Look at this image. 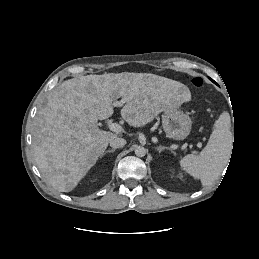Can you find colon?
Segmentation results:
<instances>
[{
	"mask_svg": "<svg viewBox=\"0 0 259 259\" xmlns=\"http://www.w3.org/2000/svg\"><path fill=\"white\" fill-rule=\"evenodd\" d=\"M190 81H191V84L196 87H200L203 84V80L200 77L191 78Z\"/></svg>",
	"mask_w": 259,
	"mask_h": 259,
	"instance_id": "colon-1",
	"label": "colon"
}]
</instances>
